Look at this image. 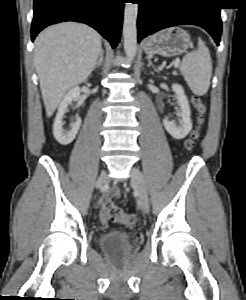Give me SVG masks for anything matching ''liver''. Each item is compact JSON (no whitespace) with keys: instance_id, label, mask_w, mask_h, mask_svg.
Wrapping results in <instances>:
<instances>
[{"instance_id":"1","label":"liver","mask_w":246,"mask_h":300,"mask_svg":"<svg viewBox=\"0 0 246 300\" xmlns=\"http://www.w3.org/2000/svg\"><path fill=\"white\" fill-rule=\"evenodd\" d=\"M100 51L101 36L81 23L56 24L38 35L34 65L48 117L71 87L88 78Z\"/></svg>"}]
</instances>
